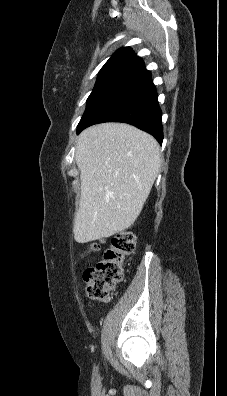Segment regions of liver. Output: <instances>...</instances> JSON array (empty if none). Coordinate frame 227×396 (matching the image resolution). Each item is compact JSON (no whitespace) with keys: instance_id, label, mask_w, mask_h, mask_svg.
<instances>
[{"instance_id":"1","label":"liver","mask_w":227,"mask_h":396,"mask_svg":"<svg viewBox=\"0 0 227 396\" xmlns=\"http://www.w3.org/2000/svg\"><path fill=\"white\" fill-rule=\"evenodd\" d=\"M81 197L74 239L87 243L129 228L160 169V148L149 134L124 123L84 130L76 143Z\"/></svg>"}]
</instances>
